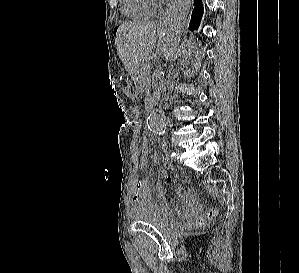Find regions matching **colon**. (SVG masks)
I'll list each match as a JSON object with an SVG mask.
<instances>
[{
  "instance_id": "5ec220e1",
  "label": "colon",
  "mask_w": 299,
  "mask_h": 273,
  "mask_svg": "<svg viewBox=\"0 0 299 273\" xmlns=\"http://www.w3.org/2000/svg\"><path fill=\"white\" fill-rule=\"evenodd\" d=\"M141 147L142 149H148L149 148V142L147 137H143L141 139ZM217 215V210L215 208H209L205 215L200 219L201 222H210L213 220Z\"/></svg>"
}]
</instances>
